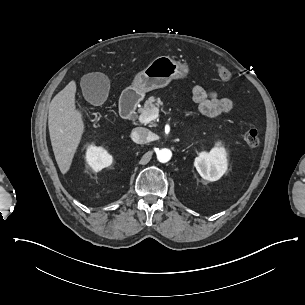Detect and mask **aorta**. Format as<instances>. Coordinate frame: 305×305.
Listing matches in <instances>:
<instances>
[{"label": "aorta", "instance_id": "762f6f07", "mask_svg": "<svg viewBox=\"0 0 305 305\" xmlns=\"http://www.w3.org/2000/svg\"><path fill=\"white\" fill-rule=\"evenodd\" d=\"M171 157H172V152L167 148H163L157 151V159L161 163L168 162L171 159Z\"/></svg>", "mask_w": 305, "mask_h": 305}]
</instances>
